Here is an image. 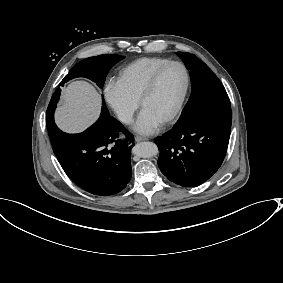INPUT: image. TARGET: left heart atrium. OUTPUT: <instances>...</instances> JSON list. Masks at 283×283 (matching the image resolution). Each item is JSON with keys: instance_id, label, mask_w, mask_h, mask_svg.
<instances>
[{"instance_id": "obj_1", "label": "left heart atrium", "mask_w": 283, "mask_h": 283, "mask_svg": "<svg viewBox=\"0 0 283 283\" xmlns=\"http://www.w3.org/2000/svg\"><path fill=\"white\" fill-rule=\"evenodd\" d=\"M161 120L153 115L147 109H141L136 122L134 123V130L142 133L149 134L158 129Z\"/></svg>"}]
</instances>
